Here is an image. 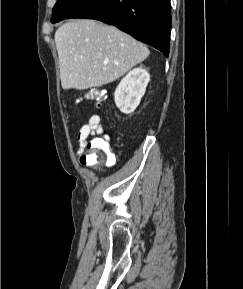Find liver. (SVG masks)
<instances>
[{"mask_svg":"<svg viewBox=\"0 0 243 289\" xmlns=\"http://www.w3.org/2000/svg\"><path fill=\"white\" fill-rule=\"evenodd\" d=\"M63 89L111 83L149 55L148 48L114 26L75 19L55 32Z\"/></svg>","mask_w":243,"mask_h":289,"instance_id":"1","label":"liver"}]
</instances>
